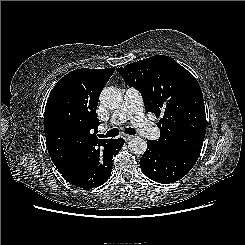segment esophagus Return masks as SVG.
<instances>
[{
    "label": "esophagus",
    "mask_w": 245,
    "mask_h": 245,
    "mask_svg": "<svg viewBox=\"0 0 245 245\" xmlns=\"http://www.w3.org/2000/svg\"><path fill=\"white\" fill-rule=\"evenodd\" d=\"M122 137L124 138L125 141H128V140L134 138L133 135H127V134H123Z\"/></svg>",
    "instance_id": "1"
}]
</instances>
